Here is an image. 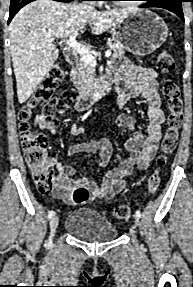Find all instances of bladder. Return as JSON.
Wrapping results in <instances>:
<instances>
[{
    "label": "bladder",
    "mask_w": 193,
    "mask_h": 287,
    "mask_svg": "<svg viewBox=\"0 0 193 287\" xmlns=\"http://www.w3.org/2000/svg\"><path fill=\"white\" fill-rule=\"evenodd\" d=\"M65 230L73 237L87 242L110 241L118 235L117 228L106 216L91 209L71 212L66 219Z\"/></svg>",
    "instance_id": "obj_1"
}]
</instances>
